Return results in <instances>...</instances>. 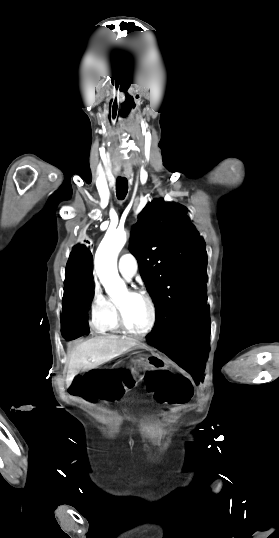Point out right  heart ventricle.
Returning <instances> with one entry per match:
<instances>
[{
    "label": "right heart ventricle",
    "mask_w": 279,
    "mask_h": 538,
    "mask_svg": "<svg viewBox=\"0 0 279 538\" xmlns=\"http://www.w3.org/2000/svg\"><path fill=\"white\" fill-rule=\"evenodd\" d=\"M106 226L99 227L100 230H104ZM107 234H115L119 236L123 241L126 237V229L124 228H109ZM99 331H121V327L118 321L117 315V298L115 297H106V315L104 320L98 326Z\"/></svg>",
    "instance_id": "obj_1"
}]
</instances>
